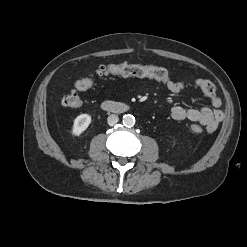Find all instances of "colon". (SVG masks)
I'll use <instances>...</instances> for the list:
<instances>
[{"label": "colon", "instance_id": "5ec220e1", "mask_svg": "<svg viewBox=\"0 0 247 247\" xmlns=\"http://www.w3.org/2000/svg\"><path fill=\"white\" fill-rule=\"evenodd\" d=\"M123 76V77H138L152 78L158 81L170 80L169 72L162 67L151 65H136L129 63L103 65L97 70V76ZM95 77H84L75 82V89L67 92L62 97V105L69 108H77L81 105L82 100L78 91H85L93 87ZM190 132L198 134L202 132V127L199 124L189 125Z\"/></svg>", "mask_w": 247, "mask_h": 247}]
</instances>
